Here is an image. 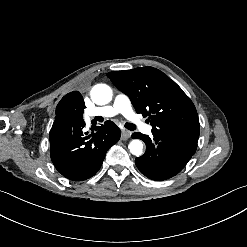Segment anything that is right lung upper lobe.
I'll use <instances>...</instances> for the list:
<instances>
[{"label": "right lung upper lobe", "mask_w": 247, "mask_h": 247, "mask_svg": "<svg viewBox=\"0 0 247 247\" xmlns=\"http://www.w3.org/2000/svg\"><path fill=\"white\" fill-rule=\"evenodd\" d=\"M59 113H60V107L57 106V107H56L55 125H56V123H57V121H58V119H59Z\"/></svg>", "instance_id": "obj_1"}]
</instances>
